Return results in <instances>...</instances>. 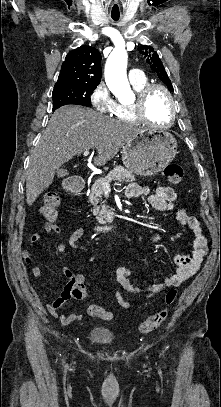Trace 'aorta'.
<instances>
[{"instance_id": "762f6f07", "label": "aorta", "mask_w": 221, "mask_h": 407, "mask_svg": "<svg viewBox=\"0 0 221 407\" xmlns=\"http://www.w3.org/2000/svg\"><path fill=\"white\" fill-rule=\"evenodd\" d=\"M127 59L128 55L124 45H118L108 57L105 65L106 84L119 100L133 97L126 74Z\"/></svg>"}]
</instances>
